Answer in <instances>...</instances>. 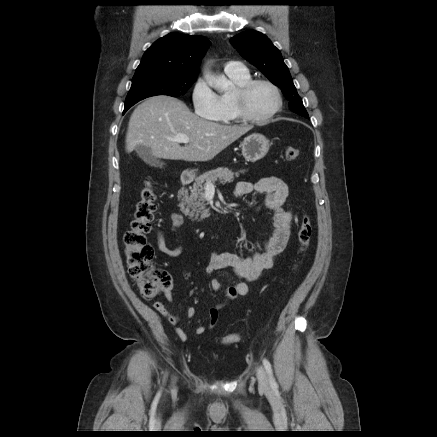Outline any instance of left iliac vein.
I'll use <instances>...</instances> for the list:
<instances>
[{
	"label": "left iliac vein",
	"instance_id": "4c4485c4",
	"mask_svg": "<svg viewBox=\"0 0 437 437\" xmlns=\"http://www.w3.org/2000/svg\"><path fill=\"white\" fill-rule=\"evenodd\" d=\"M257 379H258V384H259L260 389H262L265 392L271 391V387H270L267 373H266L264 367H262V366L258 367V369H257Z\"/></svg>",
	"mask_w": 437,
	"mask_h": 437
}]
</instances>
